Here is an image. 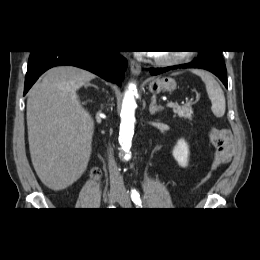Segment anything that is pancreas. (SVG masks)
Segmentation results:
<instances>
[{
	"mask_svg": "<svg viewBox=\"0 0 260 260\" xmlns=\"http://www.w3.org/2000/svg\"><path fill=\"white\" fill-rule=\"evenodd\" d=\"M172 109L180 118L192 120L193 110L189 104L183 106L176 105Z\"/></svg>",
	"mask_w": 260,
	"mask_h": 260,
	"instance_id": "pancreas-1",
	"label": "pancreas"
}]
</instances>
